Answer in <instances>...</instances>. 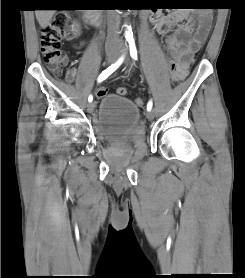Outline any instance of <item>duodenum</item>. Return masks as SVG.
<instances>
[{
  "instance_id": "410a0bca",
  "label": "duodenum",
  "mask_w": 245,
  "mask_h": 278,
  "mask_svg": "<svg viewBox=\"0 0 245 278\" xmlns=\"http://www.w3.org/2000/svg\"><path fill=\"white\" fill-rule=\"evenodd\" d=\"M85 20L89 25L93 27H97L100 25V16L95 11L87 12L85 14Z\"/></svg>"
}]
</instances>
